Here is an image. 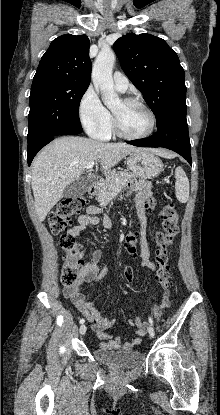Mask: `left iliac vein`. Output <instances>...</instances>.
Here are the masks:
<instances>
[{
	"label": "left iliac vein",
	"instance_id": "left-iliac-vein-1",
	"mask_svg": "<svg viewBox=\"0 0 220 415\" xmlns=\"http://www.w3.org/2000/svg\"><path fill=\"white\" fill-rule=\"evenodd\" d=\"M148 333H149L150 337H154L155 331H154V328L152 326H150L148 328Z\"/></svg>",
	"mask_w": 220,
	"mask_h": 415
}]
</instances>
